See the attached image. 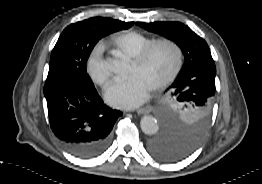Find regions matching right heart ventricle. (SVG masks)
<instances>
[{
    "instance_id": "obj_1",
    "label": "right heart ventricle",
    "mask_w": 262,
    "mask_h": 184,
    "mask_svg": "<svg viewBox=\"0 0 262 184\" xmlns=\"http://www.w3.org/2000/svg\"><path fill=\"white\" fill-rule=\"evenodd\" d=\"M156 41L137 31H127L114 38V45L121 54L135 58L144 48Z\"/></svg>"
}]
</instances>
